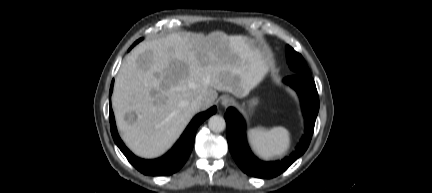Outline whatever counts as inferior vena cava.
Wrapping results in <instances>:
<instances>
[{"instance_id": "obj_1", "label": "inferior vena cava", "mask_w": 432, "mask_h": 193, "mask_svg": "<svg viewBox=\"0 0 432 193\" xmlns=\"http://www.w3.org/2000/svg\"><path fill=\"white\" fill-rule=\"evenodd\" d=\"M202 103L203 99L201 97H198L197 99L193 100L190 105L192 109L198 111L202 106Z\"/></svg>"}]
</instances>
